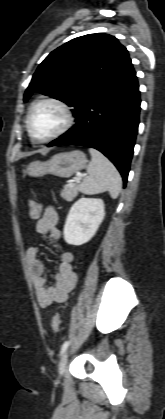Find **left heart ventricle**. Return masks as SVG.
<instances>
[{
	"instance_id": "obj_1",
	"label": "left heart ventricle",
	"mask_w": 165,
	"mask_h": 419,
	"mask_svg": "<svg viewBox=\"0 0 165 419\" xmlns=\"http://www.w3.org/2000/svg\"><path fill=\"white\" fill-rule=\"evenodd\" d=\"M62 111L53 104L37 106L31 116V127L38 138H46L55 133L63 124Z\"/></svg>"
}]
</instances>
